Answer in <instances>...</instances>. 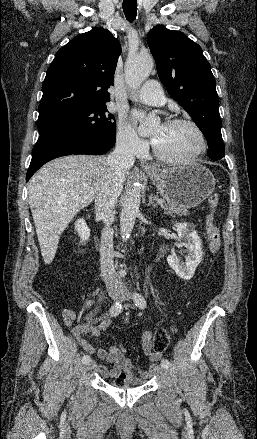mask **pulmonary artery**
Masks as SVG:
<instances>
[{
	"instance_id": "obj_1",
	"label": "pulmonary artery",
	"mask_w": 257,
	"mask_h": 439,
	"mask_svg": "<svg viewBox=\"0 0 257 439\" xmlns=\"http://www.w3.org/2000/svg\"><path fill=\"white\" fill-rule=\"evenodd\" d=\"M135 100L143 103L161 106L165 103V97L162 88L155 80L146 82L134 95Z\"/></svg>"
}]
</instances>
